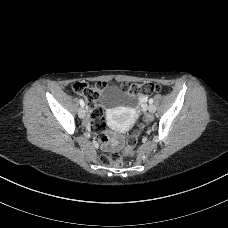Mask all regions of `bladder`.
<instances>
[{
  "mask_svg": "<svg viewBox=\"0 0 228 228\" xmlns=\"http://www.w3.org/2000/svg\"><path fill=\"white\" fill-rule=\"evenodd\" d=\"M97 101L99 105L106 107L116 105H135L136 97L122 88L112 85L100 91Z\"/></svg>",
  "mask_w": 228,
  "mask_h": 228,
  "instance_id": "1",
  "label": "bladder"
}]
</instances>
